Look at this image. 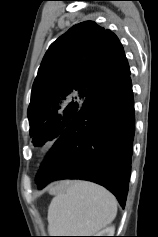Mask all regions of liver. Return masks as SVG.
Here are the masks:
<instances>
[{
    "mask_svg": "<svg viewBox=\"0 0 158 237\" xmlns=\"http://www.w3.org/2000/svg\"><path fill=\"white\" fill-rule=\"evenodd\" d=\"M67 184H68V183H63V184H61L60 186H58L55 190H56L57 192H59V191H61Z\"/></svg>",
    "mask_w": 158,
    "mask_h": 237,
    "instance_id": "6515ba94",
    "label": "liver"
}]
</instances>
